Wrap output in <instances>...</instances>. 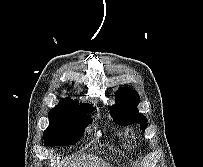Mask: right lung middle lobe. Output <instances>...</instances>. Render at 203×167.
Returning a JSON list of instances; mask_svg holds the SVG:
<instances>
[{
    "instance_id": "obj_1",
    "label": "right lung middle lobe",
    "mask_w": 203,
    "mask_h": 167,
    "mask_svg": "<svg viewBox=\"0 0 203 167\" xmlns=\"http://www.w3.org/2000/svg\"><path fill=\"white\" fill-rule=\"evenodd\" d=\"M94 111L91 105H75L49 112V126L44 131V142L49 146L71 145L80 140L85 128L92 122L87 112Z\"/></svg>"
}]
</instances>
